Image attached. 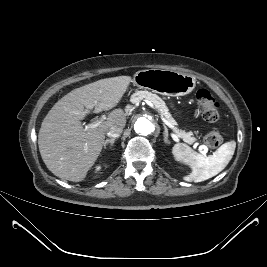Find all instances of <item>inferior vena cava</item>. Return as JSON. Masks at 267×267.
<instances>
[{"mask_svg":"<svg viewBox=\"0 0 267 267\" xmlns=\"http://www.w3.org/2000/svg\"><path fill=\"white\" fill-rule=\"evenodd\" d=\"M123 128L117 125L111 126L107 131V135L112 138H117L121 135Z\"/></svg>","mask_w":267,"mask_h":267,"instance_id":"inferior-vena-cava-1","label":"inferior vena cava"}]
</instances>
